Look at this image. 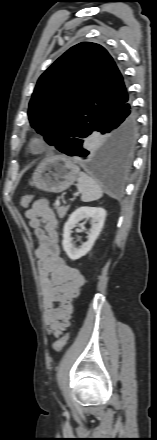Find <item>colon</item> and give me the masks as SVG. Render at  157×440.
Returning a JSON list of instances; mask_svg holds the SVG:
<instances>
[{
	"label": "colon",
	"instance_id": "1",
	"mask_svg": "<svg viewBox=\"0 0 157 440\" xmlns=\"http://www.w3.org/2000/svg\"><path fill=\"white\" fill-rule=\"evenodd\" d=\"M31 201H32V195L26 194L21 198V206L23 208H28ZM67 340H68V334L66 333L53 344V350L56 352L61 351L66 345Z\"/></svg>",
	"mask_w": 157,
	"mask_h": 440
}]
</instances>
